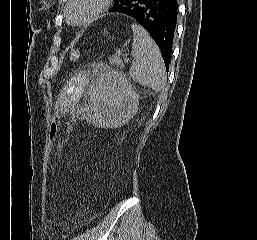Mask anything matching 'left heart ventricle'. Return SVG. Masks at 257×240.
<instances>
[{
	"label": "left heart ventricle",
	"mask_w": 257,
	"mask_h": 240,
	"mask_svg": "<svg viewBox=\"0 0 257 240\" xmlns=\"http://www.w3.org/2000/svg\"><path fill=\"white\" fill-rule=\"evenodd\" d=\"M96 6V0H75L70 7V14L73 21L83 20Z\"/></svg>",
	"instance_id": "left-heart-ventricle-1"
}]
</instances>
